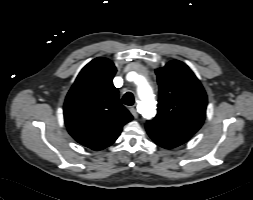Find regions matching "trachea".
<instances>
[{"label":"trachea","instance_id":"1","mask_svg":"<svg viewBox=\"0 0 253 200\" xmlns=\"http://www.w3.org/2000/svg\"><path fill=\"white\" fill-rule=\"evenodd\" d=\"M122 102L125 105L132 106L134 104V96L131 92H127L124 94L122 98Z\"/></svg>","mask_w":253,"mask_h":200}]
</instances>
